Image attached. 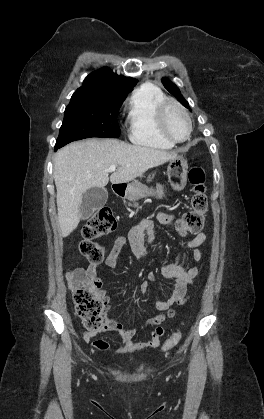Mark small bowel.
Wrapping results in <instances>:
<instances>
[{
	"label": "small bowel",
	"mask_w": 264,
	"mask_h": 419,
	"mask_svg": "<svg viewBox=\"0 0 264 419\" xmlns=\"http://www.w3.org/2000/svg\"><path fill=\"white\" fill-rule=\"evenodd\" d=\"M157 220L163 225H171L174 223L175 218L173 215L168 213L159 212L157 214ZM152 228L153 222L148 219H143L130 231L129 242L138 258H143L146 256L147 251L144 246V239L150 235ZM205 240V234L198 233L194 238L183 243V251H191V261L198 262L202 259L203 252L200 247L204 244ZM124 243L125 238L122 236H117L112 247V255H117ZM183 255L184 254L182 252L175 262L166 264L161 268L162 276L167 279L174 280V285L170 291L169 298L158 299L156 301L155 306L158 310V313L145 320L142 324V327H154V330L151 333V338L148 341H134L133 337L137 334L138 329H128L124 326L121 320L109 316H105L104 325L101 330L86 332L83 335L84 341L91 342L95 349L106 352L109 350L108 342L101 338L94 340L93 338L100 331H110L118 334L121 338V347L118 352L119 354H132L143 349L158 347L160 344V339L164 334L162 323L167 318H172L174 316V311L172 309L174 304L182 305L187 302L189 298L188 286L194 282L195 278L200 272L199 267L183 266L181 264ZM97 266L98 264L91 263L84 271L95 283L98 292L106 301V309H109L108 303L110 299L106 295V291L102 286V281L98 277ZM148 282H156V276L154 273L151 272L148 274ZM148 282L145 281L140 285V289L143 293H145L148 289Z\"/></svg>",
	"instance_id": "small-bowel-1"
}]
</instances>
